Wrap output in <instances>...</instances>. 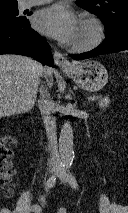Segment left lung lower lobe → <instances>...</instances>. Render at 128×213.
<instances>
[{
    "instance_id": "1",
    "label": "left lung lower lobe",
    "mask_w": 128,
    "mask_h": 213,
    "mask_svg": "<svg viewBox=\"0 0 128 213\" xmlns=\"http://www.w3.org/2000/svg\"><path fill=\"white\" fill-rule=\"evenodd\" d=\"M128 50V23L106 32V39L97 48L83 53L70 55L75 60L87 59L100 54L115 53Z\"/></svg>"
}]
</instances>
